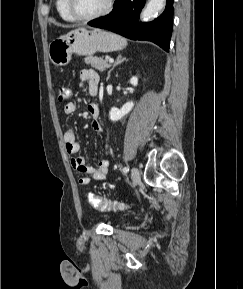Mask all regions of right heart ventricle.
<instances>
[{
	"label": "right heart ventricle",
	"instance_id": "obj_1",
	"mask_svg": "<svg viewBox=\"0 0 243 289\" xmlns=\"http://www.w3.org/2000/svg\"><path fill=\"white\" fill-rule=\"evenodd\" d=\"M56 9L60 15V17L67 22L76 21L68 12L67 9V0H56Z\"/></svg>",
	"mask_w": 243,
	"mask_h": 289
}]
</instances>
